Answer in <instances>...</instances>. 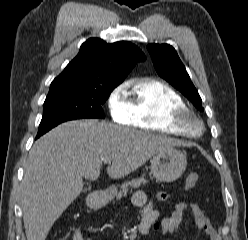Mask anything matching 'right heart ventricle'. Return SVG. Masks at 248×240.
<instances>
[{"label": "right heart ventricle", "mask_w": 248, "mask_h": 240, "mask_svg": "<svg viewBox=\"0 0 248 240\" xmlns=\"http://www.w3.org/2000/svg\"><path fill=\"white\" fill-rule=\"evenodd\" d=\"M133 126L146 131L182 134L169 121V113L186 107L181 95L166 83L157 79H143L134 84L129 99Z\"/></svg>", "instance_id": "obj_1"}]
</instances>
